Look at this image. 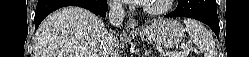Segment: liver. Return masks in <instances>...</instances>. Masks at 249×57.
I'll return each instance as SVG.
<instances>
[{"label": "liver", "instance_id": "obj_1", "mask_svg": "<svg viewBox=\"0 0 249 57\" xmlns=\"http://www.w3.org/2000/svg\"><path fill=\"white\" fill-rule=\"evenodd\" d=\"M105 31L103 20L89 10L64 7L39 26L33 57H105L102 47Z\"/></svg>", "mask_w": 249, "mask_h": 57}]
</instances>
